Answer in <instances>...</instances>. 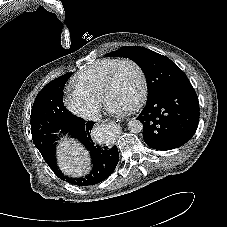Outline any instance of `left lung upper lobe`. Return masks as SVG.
<instances>
[{"mask_svg": "<svg viewBox=\"0 0 227 227\" xmlns=\"http://www.w3.org/2000/svg\"><path fill=\"white\" fill-rule=\"evenodd\" d=\"M106 55L130 58L142 68L147 79L148 98L173 87L190 83L173 61L147 48L124 46Z\"/></svg>", "mask_w": 227, "mask_h": 227, "instance_id": "5c2ea615", "label": "left lung upper lobe"}]
</instances>
